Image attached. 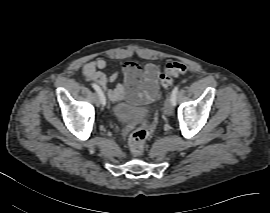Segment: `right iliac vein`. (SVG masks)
<instances>
[{"label": "right iliac vein", "instance_id": "1", "mask_svg": "<svg viewBox=\"0 0 270 213\" xmlns=\"http://www.w3.org/2000/svg\"><path fill=\"white\" fill-rule=\"evenodd\" d=\"M93 100H94V103L97 105V106H100V98L98 95H94L93 96Z\"/></svg>", "mask_w": 270, "mask_h": 213}]
</instances>
